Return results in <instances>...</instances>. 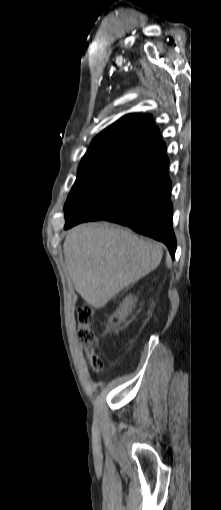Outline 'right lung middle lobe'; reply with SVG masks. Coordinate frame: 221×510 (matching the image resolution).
Segmentation results:
<instances>
[{
    "label": "right lung middle lobe",
    "mask_w": 221,
    "mask_h": 510,
    "mask_svg": "<svg viewBox=\"0 0 221 510\" xmlns=\"http://www.w3.org/2000/svg\"><path fill=\"white\" fill-rule=\"evenodd\" d=\"M152 155L148 151L123 150L83 158L65 205L66 216L81 203H86L94 215L114 210Z\"/></svg>",
    "instance_id": "1"
}]
</instances>
